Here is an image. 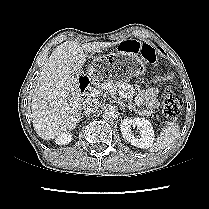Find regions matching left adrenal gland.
<instances>
[{
  "label": "left adrenal gland",
  "instance_id": "obj_1",
  "mask_svg": "<svg viewBox=\"0 0 209 209\" xmlns=\"http://www.w3.org/2000/svg\"><path fill=\"white\" fill-rule=\"evenodd\" d=\"M120 106H121V108L124 110V109L126 108L127 105L124 104L123 101H121V102H120ZM129 108H130V107H129Z\"/></svg>",
  "mask_w": 209,
  "mask_h": 209
}]
</instances>
